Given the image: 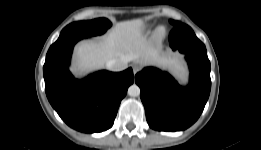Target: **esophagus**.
<instances>
[{
  "label": "esophagus",
  "mask_w": 261,
  "mask_h": 150,
  "mask_svg": "<svg viewBox=\"0 0 261 150\" xmlns=\"http://www.w3.org/2000/svg\"><path fill=\"white\" fill-rule=\"evenodd\" d=\"M140 70H141L140 65H138V64H134L133 65V72H134V74L138 73Z\"/></svg>",
  "instance_id": "esophagus-1"
}]
</instances>
